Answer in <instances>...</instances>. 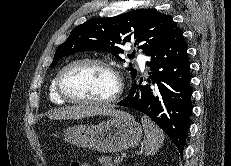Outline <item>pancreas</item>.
Wrapping results in <instances>:
<instances>
[{
  "label": "pancreas",
  "mask_w": 231,
  "mask_h": 166,
  "mask_svg": "<svg viewBox=\"0 0 231 166\" xmlns=\"http://www.w3.org/2000/svg\"><path fill=\"white\" fill-rule=\"evenodd\" d=\"M121 161L122 160L118 159V157H116L113 161L111 157H104V156L98 159V162L102 166H118L121 163Z\"/></svg>",
  "instance_id": "obj_1"
}]
</instances>
